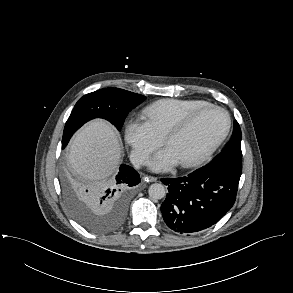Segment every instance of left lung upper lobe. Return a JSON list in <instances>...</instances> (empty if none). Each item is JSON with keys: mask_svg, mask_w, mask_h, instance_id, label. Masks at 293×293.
<instances>
[{"mask_svg": "<svg viewBox=\"0 0 293 293\" xmlns=\"http://www.w3.org/2000/svg\"><path fill=\"white\" fill-rule=\"evenodd\" d=\"M241 129L237 121L234 122L233 134L230 141L209 164L225 168L237 175L242 172Z\"/></svg>", "mask_w": 293, "mask_h": 293, "instance_id": "1", "label": "left lung upper lobe"}]
</instances>
